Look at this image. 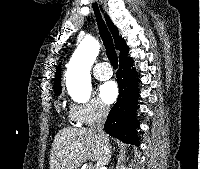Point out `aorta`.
Segmentation results:
<instances>
[{"instance_id": "762f6f07", "label": "aorta", "mask_w": 200, "mask_h": 169, "mask_svg": "<svg viewBox=\"0 0 200 169\" xmlns=\"http://www.w3.org/2000/svg\"><path fill=\"white\" fill-rule=\"evenodd\" d=\"M99 49L98 41L86 36L70 59L66 72V85L70 95L77 101H86L91 95L90 71Z\"/></svg>"}]
</instances>
